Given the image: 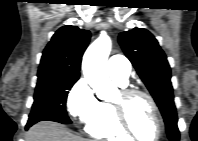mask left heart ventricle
<instances>
[{
  "mask_svg": "<svg viewBox=\"0 0 198 141\" xmlns=\"http://www.w3.org/2000/svg\"><path fill=\"white\" fill-rule=\"evenodd\" d=\"M120 101L119 93L113 102ZM126 108L129 123L138 138L145 141L153 140L157 134V125L149 102L140 96L133 97L127 101Z\"/></svg>",
  "mask_w": 198,
  "mask_h": 141,
  "instance_id": "1",
  "label": "left heart ventricle"
}]
</instances>
